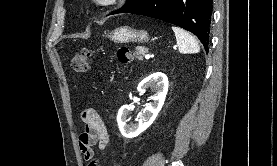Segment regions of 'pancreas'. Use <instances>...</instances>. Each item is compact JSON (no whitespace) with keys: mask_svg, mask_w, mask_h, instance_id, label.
I'll return each instance as SVG.
<instances>
[{"mask_svg":"<svg viewBox=\"0 0 277 166\" xmlns=\"http://www.w3.org/2000/svg\"><path fill=\"white\" fill-rule=\"evenodd\" d=\"M148 51L147 48H144V47H137L135 52H134V55L139 59V60H142L143 59V55Z\"/></svg>","mask_w":277,"mask_h":166,"instance_id":"pancreas-1","label":"pancreas"}]
</instances>
